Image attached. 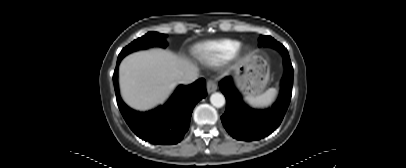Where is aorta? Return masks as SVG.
Wrapping results in <instances>:
<instances>
[{
  "mask_svg": "<svg viewBox=\"0 0 406 168\" xmlns=\"http://www.w3.org/2000/svg\"><path fill=\"white\" fill-rule=\"evenodd\" d=\"M210 102L213 106L220 108L224 106L226 101L223 94L216 92L211 95Z\"/></svg>",
  "mask_w": 406,
  "mask_h": 168,
  "instance_id": "762f6f07",
  "label": "aorta"
}]
</instances>
